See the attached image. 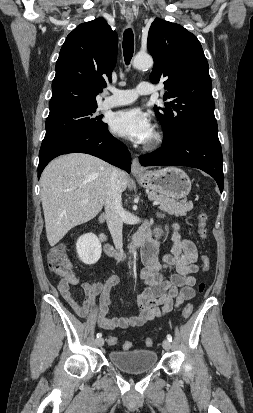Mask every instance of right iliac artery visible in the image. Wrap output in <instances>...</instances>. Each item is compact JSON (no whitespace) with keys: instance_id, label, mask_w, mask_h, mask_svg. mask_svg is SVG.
<instances>
[{"instance_id":"right-iliac-artery-1","label":"right iliac artery","mask_w":253,"mask_h":413,"mask_svg":"<svg viewBox=\"0 0 253 413\" xmlns=\"http://www.w3.org/2000/svg\"><path fill=\"white\" fill-rule=\"evenodd\" d=\"M102 336V334L101 333H98L97 334V338H99V337H101Z\"/></svg>"}]
</instances>
